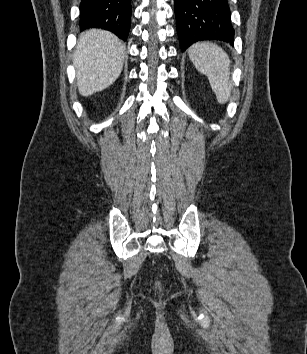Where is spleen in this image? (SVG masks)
<instances>
[{
    "label": "spleen",
    "instance_id": "spleen-1",
    "mask_svg": "<svg viewBox=\"0 0 307 354\" xmlns=\"http://www.w3.org/2000/svg\"><path fill=\"white\" fill-rule=\"evenodd\" d=\"M196 69L207 76L213 92L220 104L228 101L232 82L230 81V59L225 51L216 44L198 42L188 51Z\"/></svg>",
    "mask_w": 307,
    "mask_h": 354
}]
</instances>
